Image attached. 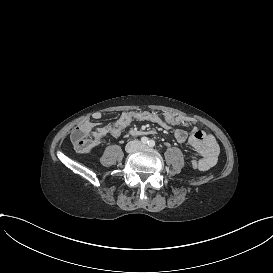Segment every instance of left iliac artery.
I'll return each mask as SVG.
<instances>
[{
  "instance_id": "1",
  "label": "left iliac artery",
  "mask_w": 273,
  "mask_h": 273,
  "mask_svg": "<svg viewBox=\"0 0 273 273\" xmlns=\"http://www.w3.org/2000/svg\"><path fill=\"white\" fill-rule=\"evenodd\" d=\"M148 145H149L150 147L155 146V141H154V140H150V141L148 142Z\"/></svg>"
}]
</instances>
